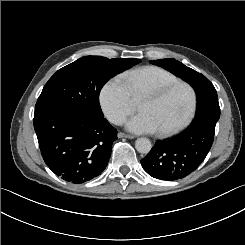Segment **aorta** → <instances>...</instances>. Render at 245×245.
I'll list each match as a JSON object with an SVG mask.
<instances>
[{
  "instance_id": "obj_1",
  "label": "aorta",
  "mask_w": 245,
  "mask_h": 245,
  "mask_svg": "<svg viewBox=\"0 0 245 245\" xmlns=\"http://www.w3.org/2000/svg\"><path fill=\"white\" fill-rule=\"evenodd\" d=\"M135 148L139 153L148 154L152 148V144L147 138H138L135 142Z\"/></svg>"
}]
</instances>
